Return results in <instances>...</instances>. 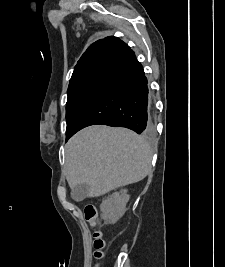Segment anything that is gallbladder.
Returning a JSON list of instances; mask_svg holds the SVG:
<instances>
[{
  "mask_svg": "<svg viewBox=\"0 0 225 267\" xmlns=\"http://www.w3.org/2000/svg\"><path fill=\"white\" fill-rule=\"evenodd\" d=\"M88 190L87 184H78L71 189V196L75 201H82L87 196Z\"/></svg>",
  "mask_w": 225,
  "mask_h": 267,
  "instance_id": "gallbladder-1",
  "label": "gallbladder"
}]
</instances>
